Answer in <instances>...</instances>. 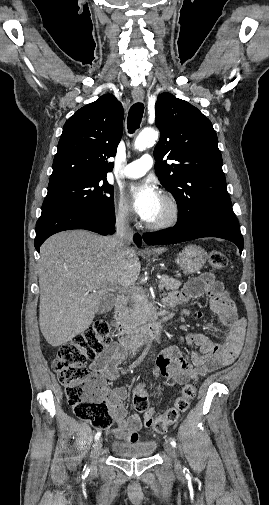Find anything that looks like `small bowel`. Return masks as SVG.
<instances>
[{
	"mask_svg": "<svg viewBox=\"0 0 269 505\" xmlns=\"http://www.w3.org/2000/svg\"><path fill=\"white\" fill-rule=\"evenodd\" d=\"M202 296L208 297L211 310L228 331L221 343H215L202 333H190L187 342L196 349L192 350L189 358H186L176 346L159 353L155 364L156 373L180 385L186 384L194 376H204L230 365L239 355L244 340L246 322L238 315L233 300L224 291L223 284L211 273H204L189 281L182 290L170 293L165 298V304L172 308ZM201 316V312L194 314L196 318ZM127 351L128 348L117 343L109 345L92 362L91 370L103 380L104 384L106 380L117 379L118 366ZM127 396L128 391L124 387L111 390L104 385V398L117 424L113 429L114 436L129 442H137L142 422L136 413L127 416L123 404Z\"/></svg>",
	"mask_w": 269,
	"mask_h": 505,
	"instance_id": "1",
	"label": "small bowel"
}]
</instances>
